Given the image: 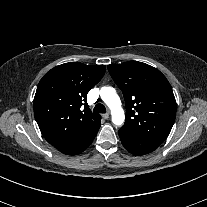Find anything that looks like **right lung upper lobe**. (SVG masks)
<instances>
[{
  "label": "right lung upper lobe",
  "mask_w": 207,
  "mask_h": 207,
  "mask_svg": "<svg viewBox=\"0 0 207 207\" xmlns=\"http://www.w3.org/2000/svg\"><path fill=\"white\" fill-rule=\"evenodd\" d=\"M104 73V65L70 62L54 67L39 82L35 119L45 139L57 149L100 123V115L88 108L86 96Z\"/></svg>",
  "instance_id": "right-lung-upper-lobe-1"
}]
</instances>
